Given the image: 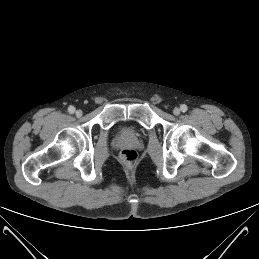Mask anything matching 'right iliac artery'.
<instances>
[{
    "mask_svg": "<svg viewBox=\"0 0 259 259\" xmlns=\"http://www.w3.org/2000/svg\"><path fill=\"white\" fill-rule=\"evenodd\" d=\"M68 112H69L70 114H73V113L75 112V107H74V106H69Z\"/></svg>",
    "mask_w": 259,
    "mask_h": 259,
    "instance_id": "obj_1",
    "label": "right iliac artery"
}]
</instances>
